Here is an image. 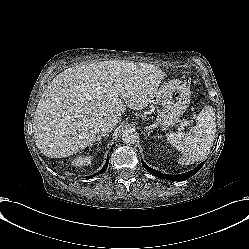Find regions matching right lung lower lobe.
<instances>
[{"label":"right lung lower lobe","instance_id":"1","mask_svg":"<svg viewBox=\"0 0 249 249\" xmlns=\"http://www.w3.org/2000/svg\"><path fill=\"white\" fill-rule=\"evenodd\" d=\"M108 163H109V159H107V162H106L105 166L99 171L101 174L104 173V172L106 171V168H107V166H108ZM89 177H93V175H92V176H89Z\"/></svg>","mask_w":249,"mask_h":249}]
</instances>
